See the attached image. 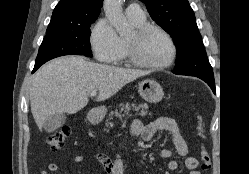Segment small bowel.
Listing matches in <instances>:
<instances>
[{
	"mask_svg": "<svg viewBox=\"0 0 249 174\" xmlns=\"http://www.w3.org/2000/svg\"><path fill=\"white\" fill-rule=\"evenodd\" d=\"M167 132L174 144V151L169 149H162L160 156L162 158H172L174 154L184 157V166L190 170V174H201L198 170V160L195 157L188 155V146L182 135L180 127L176 121L169 117H161L157 120L144 125L140 120H133L130 126V134L133 139H142L144 141L151 140L157 132ZM95 159L104 167L106 174H124V164L122 158L117 155L115 159L109 158L104 154H96ZM83 155H76L73 157V162L76 164L84 162ZM168 168L175 171L179 168V163L176 160H171L168 163ZM59 165L57 163H50L48 171L57 172ZM47 170H43L41 174H49Z\"/></svg>",
	"mask_w": 249,
	"mask_h": 174,
	"instance_id": "small-bowel-1",
	"label": "small bowel"
}]
</instances>
